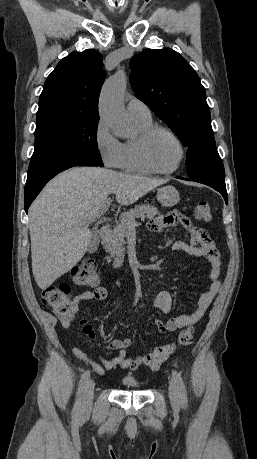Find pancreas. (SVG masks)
<instances>
[{
  "mask_svg": "<svg viewBox=\"0 0 257 459\" xmlns=\"http://www.w3.org/2000/svg\"><path fill=\"white\" fill-rule=\"evenodd\" d=\"M158 214L159 210L149 204L137 205L124 213L120 218V222L103 237L102 243L106 252L110 253L112 257L123 256L125 252L124 245L126 244L125 238L130 226V220L135 218L144 219L145 217L152 219Z\"/></svg>",
  "mask_w": 257,
  "mask_h": 459,
  "instance_id": "pancreas-1",
  "label": "pancreas"
}]
</instances>
